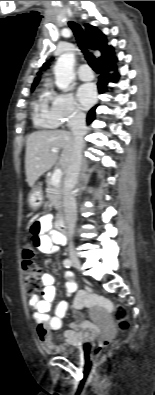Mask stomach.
Segmentation results:
<instances>
[{
	"mask_svg": "<svg viewBox=\"0 0 155 395\" xmlns=\"http://www.w3.org/2000/svg\"><path fill=\"white\" fill-rule=\"evenodd\" d=\"M43 196L40 184H34L29 197V204L32 208H38L42 204Z\"/></svg>",
	"mask_w": 155,
	"mask_h": 395,
	"instance_id": "obj_1",
	"label": "stomach"
}]
</instances>
